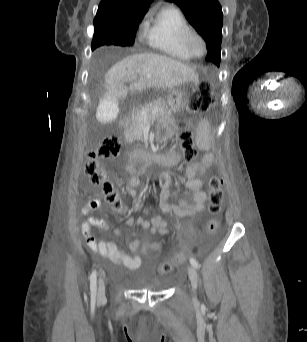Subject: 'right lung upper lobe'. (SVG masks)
Segmentation results:
<instances>
[{
  "label": "right lung upper lobe",
  "instance_id": "right-lung-upper-lobe-1",
  "mask_svg": "<svg viewBox=\"0 0 307 342\" xmlns=\"http://www.w3.org/2000/svg\"><path fill=\"white\" fill-rule=\"evenodd\" d=\"M153 0H102L94 18L96 30L133 33Z\"/></svg>",
  "mask_w": 307,
  "mask_h": 342
}]
</instances>
